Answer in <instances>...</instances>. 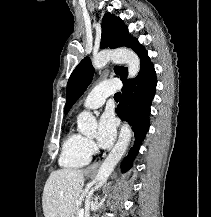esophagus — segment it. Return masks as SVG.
<instances>
[{
  "instance_id": "1",
  "label": "esophagus",
  "mask_w": 211,
  "mask_h": 217,
  "mask_svg": "<svg viewBox=\"0 0 211 217\" xmlns=\"http://www.w3.org/2000/svg\"><path fill=\"white\" fill-rule=\"evenodd\" d=\"M100 166V162L93 163L89 166L88 171H96L98 167Z\"/></svg>"
}]
</instances>
